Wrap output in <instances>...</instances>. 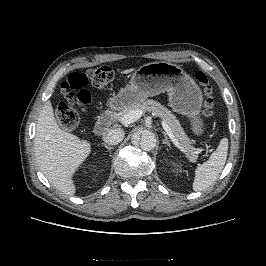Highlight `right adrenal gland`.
<instances>
[{
    "mask_svg": "<svg viewBox=\"0 0 266 266\" xmlns=\"http://www.w3.org/2000/svg\"><path fill=\"white\" fill-rule=\"evenodd\" d=\"M102 146H104L108 151H111L112 149H113V147L112 146H109V145H107V144H102Z\"/></svg>",
    "mask_w": 266,
    "mask_h": 266,
    "instance_id": "1",
    "label": "right adrenal gland"
}]
</instances>
